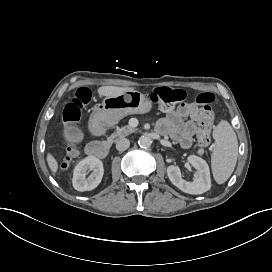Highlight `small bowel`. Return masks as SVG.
<instances>
[{
    "label": "small bowel",
    "instance_id": "obj_1",
    "mask_svg": "<svg viewBox=\"0 0 272 272\" xmlns=\"http://www.w3.org/2000/svg\"><path fill=\"white\" fill-rule=\"evenodd\" d=\"M164 108L165 117L157 121L155 130L158 134L169 135L183 148H189L193 136L201 130L198 124L200 110L197 104L182 102L175 109Z\"/></svg>",
    "mask_w": 272,
    "mask_h": 272
}]
</instances>
